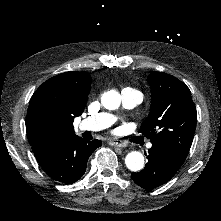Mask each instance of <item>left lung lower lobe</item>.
I'll return each instance as SVG.
<instances>
[{
	"instance_id": "1",
	"label": "left lung lower lobe",
	"mask_w": 221,
	"mask_h": 221,
	"mask_svg": "<svg viewBox=\"0 0 221 221\" xmlns=\"http://www.w3.org/2000/svg\"><path fill=\"white\" fill-rule=\"evenodd\" d=\"M148 153V163L144 169L131 175L136 184L147 190L167 183L184 163L163 145L152 144Z\"/></svg>"
}]
</instances>
